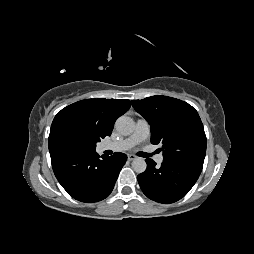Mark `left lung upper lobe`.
Segmentation results:
<instances>
[{"label": "left lung upper lobe", "mask_w": 254, "mask_h": 254, "mask_svg": "<svg viewBox=\"0 0 254 254\" xmlns=\"http://www.w3.org/2000/svg\"><path fill=\"white\" fill-rule=\"evenodd\" d=\"M132 106L150 124L151 142L162 145L163 161L203 166L206 135L191 105L168 96H152L132 100Z\"/></svg>", "instance_id": "5c2ea615"}]
</instances>
